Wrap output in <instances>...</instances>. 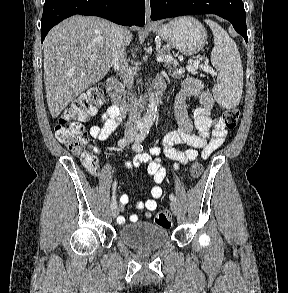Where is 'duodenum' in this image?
Listing matches in <instances>:
<instances>
[{"label": "duodenum", "instance_id": "duodenum-1", "mask_svg": "<svg viewBox=\"0 0 288 293\" xmlns=\"http://www.w3.org/2000/svg\"><path fill=\"white\" fill-rule=\"evenodd\" d=\"M105 87L112 105L119 109L120 112H126L129 104L121 92L117 81L113 77H110L106 80ZM165 89V80L162 77H158L153 84L152 90L138 102L137 107L143 109L150 100L158 99L164 93Z\"/></svg>", "mask_w": 288, "mask_h": 293}]
</instances>
